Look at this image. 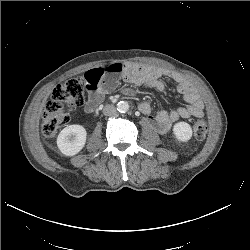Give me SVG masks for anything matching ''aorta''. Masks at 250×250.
Masks as SVG:
<instances>
[{
  "label": "aorta",
  "mask_w": 250,
  "mask_h": 250,
  "mask_svg": "<svg viewBox=\"0 0 250 250\" xmlns=\"http://www.w3.org/2000/svg\"><path fill=\"white\" fill-rule=\"evenodd\" d=\"M129 103L126 102V101H120L118 104H117V110L121 113H125L129 110Z\"/></svg>",
  "instance_id": "obj_1"
}]
</instances>
